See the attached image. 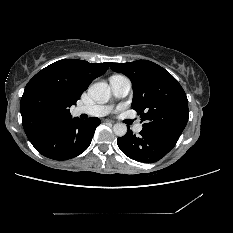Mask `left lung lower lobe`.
Instances as JSON below:
<instances>
[{"instance_id":"0a47b994","label":"left lung lower lobe","mask_w":233,"mask_h":233,"mask_svg":"<svg viewBox=\"0 0 233 233\" xmlns=\"http://www.w3.org/2000/svg\"><path fill=\"white\" fill-rule=\"evenodd\" d=\"M136 136L128 130L123 137L117 139L120 150L129 158L144 163H154L170 152L179 137L159 134L142 129Z\"/></svg>"}]
</instances>
